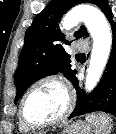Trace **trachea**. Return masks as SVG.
<instances>
[{"mask_svg":"<svg viewBox=\"0 0 116 134\" xmlns=\"http://www.w3.org/2000/svg\"><path fill=\"white\" fill-rule=\"evenodd\" d=\"M78 56H85V54H78Z\"/></svg>","mask_w":116,"mask_h":134,"instance_id":"obj_1","label":"trachea"}]
</instances>
